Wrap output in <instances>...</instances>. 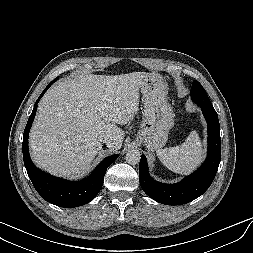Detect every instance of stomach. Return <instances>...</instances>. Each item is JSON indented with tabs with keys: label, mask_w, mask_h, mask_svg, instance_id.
I'll use <instances>...</instances> for the list:
<instances>
[{
	"label": "stomach",
	"mask_w": 253,
	"mask_h": 253,
	"mask_svg": "<svg viewBox=\"0 0 253 253\" xmlns=\"http://www.w3.org/2000/svg\"><path fill=\"white\" fill-rule=\"evenodd\" d=\"M144 103L138 139L150 150L161 148L174 125V113L167 98V83L160 75L145 79L140 87Z\"/></svg>",
	"instance_id": "1"
}]
</instances>
